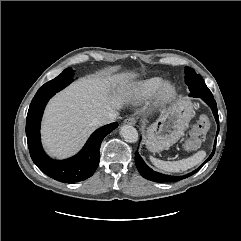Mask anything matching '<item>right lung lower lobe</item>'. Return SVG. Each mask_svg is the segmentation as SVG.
Here are the masks:
<instances>
[{"label":"right lung lower lobe","mask_w":241,"mask_h":241,"mask_svg":"<svg viewBox=\"0 0 241 241\" xmlns=\"http://www.w3.org/2000/svg\"><path fill=\"white\" fill-rule=\"evenodd\" d=\"M34 97L27 114L26 135L29 152L36 166L49 177L67 183L83 181L92 176L99 165V149L103 138L117 128L111 123L96 130L84 148L74 157L57 161L44 152L40 141V123L44 108L53 96Z\"/></svg>","instance_id":"right-lung-lower-lobe-1"}]
</instances>
